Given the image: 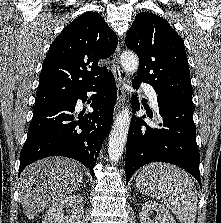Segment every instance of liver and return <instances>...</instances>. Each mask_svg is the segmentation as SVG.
Here are the masks:
<instances>
[{"instance_id": "6515ba94", "label": "liver", "mask_w": 221, "mask_h": 223, "mask_svg": "<svg viewBox=\"0 0 221 223\" xmlns=\"http://www.w3.org/2000/svg\"><path fill=\"white\" fill-rule=\"evenodd\" d=\"M81 165L64 157H50L27 166L19 179V198L25 215L34 219L45 208L79 190Z\"/></svg>"}]
</instances>
